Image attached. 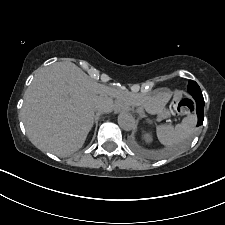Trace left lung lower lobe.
<instances>
[{
    "mask_svg": "<svg viewBox=\"0 0 225 225\" xmlns=\"http://www.w3.org/2000/svg\"><path fill=\"white\" fill-rule=\"evenodd\" d=\"M193 98L197 105V116H198L197 126H200L203 124L204 119V98L203 97H193Z\"/></svg>",
    "mask_w": 225,
    "mask_h": 225,
    "instance_id": "obj_1",
    "label": "left lung lower lobe"
}]
</instances>
